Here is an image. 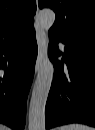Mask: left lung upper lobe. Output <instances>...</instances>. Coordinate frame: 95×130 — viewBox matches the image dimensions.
<instances>
[{
	"label": "left lung upper lobe",
	"mask_w": 95,
	"mask_h": 130,
	"mask_svg": "<svg viewBox=\"0 0 95 130\" xmlns=\"http://www.w3.org/2000/svg\"><path fill=\"white\" fill-rule=\"evenodd\" d=\"M38 4L55 11L49 35L95 48V0H39Z\"/></svg>",
	"instance_id": "5c2ea615"
}]
</instances>
